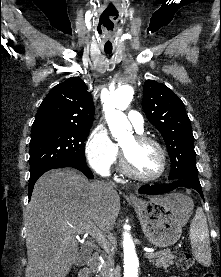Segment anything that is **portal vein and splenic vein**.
<instances>
[{"label": "portal vein and splenic vein", "instance_id": "portal-vein-and-splenic-vein-1", "mask_svg": "<svg viewBox=\"0 0 221 277\" xmlns=\"http://www.w3.org/2000/svg\"><path fill=\"white\" fill-rule=\"evenodd\" d=\"M83 233L90 234L97 241V243L104 248H106V246L109 244V241L106 239L105 235L102 232L98 231L92 225L86 226L83 230ZM161 253L162 251H158V252L151 251V252L145 253V255L151 258L156 255H160Z\"/></svg>", "mask_w": 221, "mask_h": 277}]
</instances>
